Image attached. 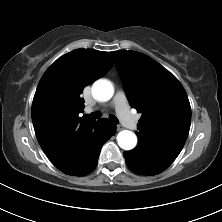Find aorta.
Instances as JSON below:
<instances>
[{
    "mask_svg": "<svg viewBox=\"0 0 222 222\" xmlns=\"http://www.w3.org/2000/svg\"><path fill=\"white\" fill-rule=\"evenodd\" d=\"M114 89L112 84L107 80H97L92 86V95L99 101H108L113 96ZM118 145L124 150H131L136 146L137 137L129 131L123 130L117 135Z\"/></svg>",
    "mask_w": 222,
    "mask_h": 222,
    "instance_id": "obj_1",
    "label": "aorta"
}]
</instances>
